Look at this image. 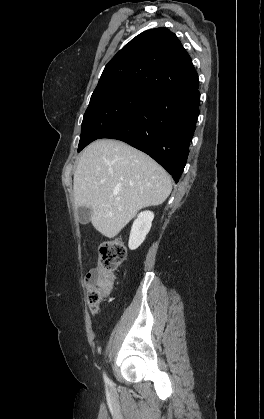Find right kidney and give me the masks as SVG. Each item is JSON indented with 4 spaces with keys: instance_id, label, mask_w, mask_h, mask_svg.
<instances>
[{
    "instance_id": "obj_1",
    "label": "right kidney",
    "mask_w": 264,
    "mask_h": 419,
    "mask_svg": "<svg viewBox=\"0 0 264 419\" xmlns=\"http://www.w3.org/2000/svg\"><path fill=\"white\" fill-rule=\"evenodd\" d=\"M154 214L151 211L141 212L132 225L129 237V249H137L145 240L146 235L150 231Z\"/></svg>"
}]
</instances>
